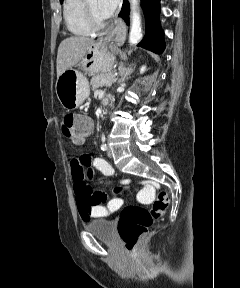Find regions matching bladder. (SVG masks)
I'll use <instances>...</instances> for the list:
<instances>
[{"label": "bladder", "mask_w": 240, "mask_h": 288, "mask_svg": "<svg viewBox=\"0 0 240 288\" xmlns=\"http://www.w3.org/2000/svg\"><path fill=\"white\" fill-rule=\"evenodd\" d=\"M85 230L91 233L99 240L106 243H114L115 236V224L111 220L98 219L85 224Z\"/></svg>", "instance_id": "31cf9c89"}]
</instances>
